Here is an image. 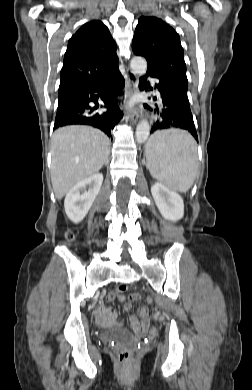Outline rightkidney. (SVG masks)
Instances as JSON below:
<instances>
[{
	"label": "right kidney",
	"instance_id": "obj_1",
	"mask_svg": "<svg viewBox=\"0 0 252 390\" xmlns=\"http://www.w3.org/2000/svg\"><path fill=\"white\" fill-rule=\"evenodd\" d=\"M103 182V175L95 173L74 185L67 193L64 208L68 218L81 222L91 208Z\"/></svg>",
	"mask_w": 252,
	"mask_h": 390
}]
</instances>
